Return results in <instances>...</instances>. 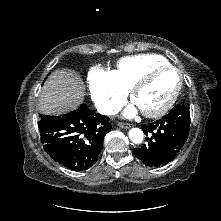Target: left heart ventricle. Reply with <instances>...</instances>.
Masks as SVG:
<instances>
[{
    "label": "left heart ventricle",
    "mask_w": 221,
    "mask_h": 221,
    "mask_svg": "<svg viewBox=\"0 0 221 221\" xmlns=\"http://www.w3.org/2000/svg\"><path fill=\"white\" fill-rule=\"evenodd\" d=\"M177 83L178 75L176 72H161L138 93L135 104L142 110H156L168 101Z\"/></svg>",
    "instance_id": "1"
}]
</instances>
